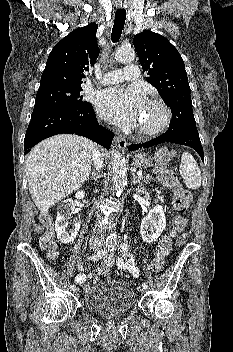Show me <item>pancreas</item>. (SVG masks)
Segmentation results:
<instances>
[{"label":"pancreas","instance_id":"cf45deb5","mask_svg":"<svg viewBox=\"0 0 233 352\" xmlns=\"http://www.w3.org/2000/svg\"><path fill=\"white\" fill-rule=\"evenodd\" d=\"M139 180L144 183H149L151 181V177L149 175H144V176L139 177Z\"/></svg>","mask_w":233,"mask_h":352}]
</instances>
